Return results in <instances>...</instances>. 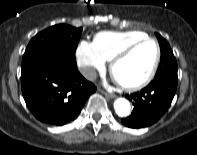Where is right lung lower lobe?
<instances>
[{
  "mask_svg": "<svg viewBox=\"0 0 197 155\" xmlns=\"http://www.w3.org/2000/svg\"><path fill=\"white\" fill-rule=\"evenodd\" d=\"M21 87L27 107L40 121L62 126L74 120L96 87L77 69L75 58L43 57L21 72Z\"/></svg>",
  "mask_w": 197,
  "mask_h": 155,
  "instance_id": "obj_1",
  "label": "right lung lower lobe"
}]
</instances>
